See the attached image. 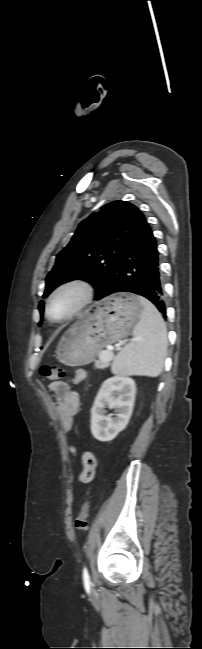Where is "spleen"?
I'll return each instance as SVG.
<instances>
[{"label":"spleen","instance_id":"obj_1","mask_svg":"<svg viewBox=\"0 0 202 649\" xmlns=\"http://www.w3.org/2000/svg\"><path fill=\"white\" fill-rule=\"evenodd\" d=\"M138 300L143 311L133 329L134 339L115 357L112 373L156 377L161 373L168 346L164 320L144 297Z\"/></svg>","mask_w":202,"mask_h":649}]
</instances>
